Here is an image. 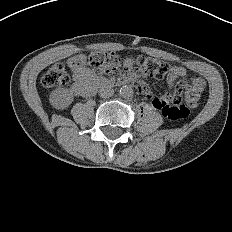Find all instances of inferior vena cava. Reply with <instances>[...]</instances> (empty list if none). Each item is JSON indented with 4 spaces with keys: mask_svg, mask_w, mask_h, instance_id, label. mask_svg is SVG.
I'll return each mask as SVG.
<instances>
[{
    "mask_svg": "<svg viewBox=\"0 0 232 232\" xmlns=\"http://www.w3.org/2000/svg\"><path fill=\"white\" fill-rule=\"evenodd\" d=\"M114 90L110 86H103L99 90V96L102 98H109L113 96Z\"/></svg>",
    "mask_w": 232,
    "mask_h": 232,
    "instance_id": "602c4592",
    "label": "inferior vena cava"
}]
</instances>
